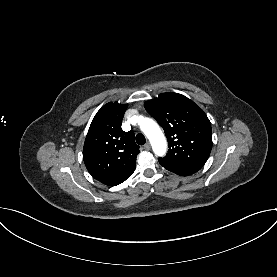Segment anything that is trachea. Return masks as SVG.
<instances>
[{
    "label": "trachea",
    "mask_w": 277,
    "mask_h": 277,
    "mask_svg": "<svg viewBox=\"0 0 277 277\" xmlns=\"http://www.w3.org/2000/svg\"><path fill=\"white\" fill-rule=\"evenodd\" d=\"M136 142L139 145H144L146 143V138L143 134L139 133L136 135Z\"/></svg>",
    "instance_id": "1"
}]
</instances>
